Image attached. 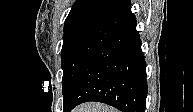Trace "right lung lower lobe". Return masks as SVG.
<instances>
[{
    "instance_id": "right-lung-lower-lobe-1",
    "label": "right lung lower lobe",
    "mask_w": 193,
    "mask_h": 112,
    "mask_svg": "<svg viewBox=\"0 0 193 112\" xmlns=\"http://www.w3.org/2000/svg\"><path fill=\"white\" fill-rule=\"evenodd\" d=\"M146 97V63L134 20L88 59L63 102V112L88 101L103 102L122 112H145Z\"/></svg>"
}]
</instances>
